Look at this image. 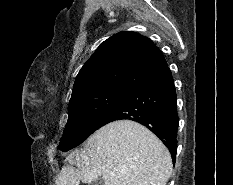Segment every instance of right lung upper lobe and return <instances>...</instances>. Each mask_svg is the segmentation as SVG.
<instances>
[{"label":"right lung upper lobe","instance_id":"cb5924a9","mask_svg":"<svg viewBox=\"0 0 233 185\" xmlns=\"http://www.w3.org/2000/svg\"><path fill=\"white\" fill-rule=\"evenodd\" d=\"M166 67L163 54L150 39L130 31L118 33L105 40L81 68L71 99L107 87L131 90Z\"/></svg>","mask_w":233,"mask_h":185}]
</instances>
